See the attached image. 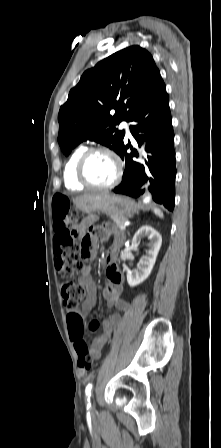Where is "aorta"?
Wrapping results in <instances>:
<instances>
[{
  "label": "aorta",
  "mask_w": 221,
  "mask_h": 448,
  "mask_svg": "<svg viewBox=\"0 0 221 448\" xmlns=\"http://www.w3.org/2000/svg\"><path fill=\"white\" fill-rule=\"evenodd\" d=\"M149 200H150L149 197H146V198H145V202H148Z\"/></svg>",
  "instance_id": "762f6f07"
}]
</instances>
